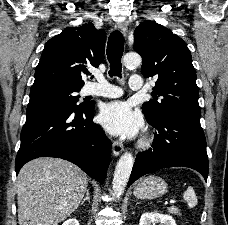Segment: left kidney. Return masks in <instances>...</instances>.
Returning a JSON list of instances; mask_svg holds the SVG:
<instances>
[{"instance_id":"left-kidney-1","label":"left kidney","mask_w":228,"mask_h":225,"mask_svg":"<svg viewBox=\"0 0 228 225\" xmlns=\"http://www.w3.org/2000/svg\"><path fill=\"white\" fill-rule=\"evenodd\" d=\"M151 223H160V225H176L173 217L162 215V213H143L139 225H151Z\"/></svg>"}]
</instances>
